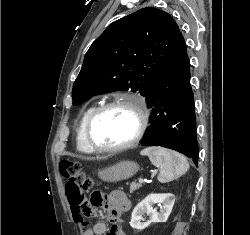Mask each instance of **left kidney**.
Listing matches in <instances>:
<instances>
[{"label": "left kidney", "instance_id": "left-kidney-1", "mask_svg": "<svg viewBox=\"0 0 250 235\" xmlns=\"http://www.w3.org/2000/svg\"><path fill=\"white\" fill-rule=\"evenodd\" d=\"M174 203L175 198L171 193L148 195L134 208L130 226L133 229L141 231L148 227L151 223L166 222L172 211ZM154 204H158L160 206L159 212L153 208ZM144 214L150 216V220L147 222H141L142 215Z\"/></svg>", "mask_w": 250, "mask_h": 235}]
</instances>
